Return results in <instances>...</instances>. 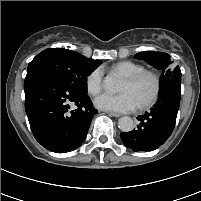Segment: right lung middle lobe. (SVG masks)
Here are the masks:
<instances>
[{
	"mask_svg": "<svg viewBox=\"0 0 201 201\" xmlns=\"http://www.w3.org/2000/svg\"><path fill=\"white\" fill-rule=\"evenodd\" d=\"M102 62L64 48H50L39 53L28 65L27 73L47 70L59 76L81 94H87V76Z\"/></svg>",
	"mask_w": 201,
	"mask_h": 201,
	"instance_id": "obj_1",
	"label": "right lung middle lobe"
}]
</instances>
